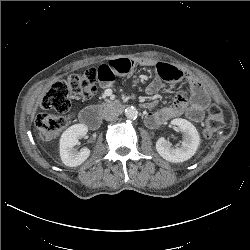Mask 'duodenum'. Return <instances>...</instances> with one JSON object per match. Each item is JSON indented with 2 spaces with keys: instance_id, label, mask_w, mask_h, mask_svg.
<instances>
[{
  "instance_id": "1",
  "label": "duodenum",
  "mask_w": 250,
  "mask_h": 250,
  "mask_svg": "<svg viewBox=\"0 0 250 250\" xmlns=\"http://www.w3.org/2000/svg\"><path fill=\"white\" fill-rule=\"evenodd\" d=\"M104 110L122 113L125 110V105L120 102H112L96 107H89L81 112L80 120L89 128L96 129L100 124L101 113Z\"/></svg>"
}]
</instances>
